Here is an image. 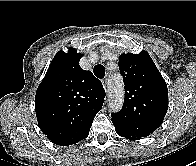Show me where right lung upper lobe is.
<instances>
[{"instance_id": "right-lung-upper-lobe-1", "label": "right lung upper lobe", "mask_w": 196, "mask_h": 166, "mask_svg": "<svg viewBox=\"0 0 196 166\" xmlns=\"http://www.w3.org/2000/svg\"><path fill=\"white\" fill-rule=\"evenodd\" d=\"M81 57L73 48L68 53L59 51L35 96L39 127L60 146L85 139L104 102L101 81L92 72L80 68Z\"/></svg>"}]
</instances>
